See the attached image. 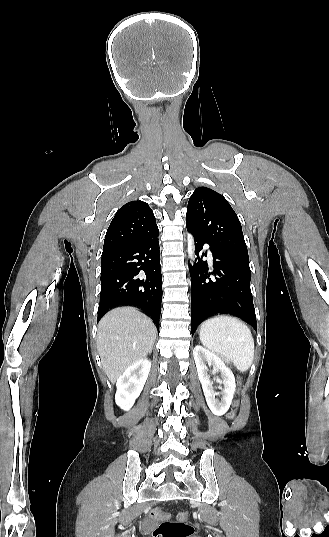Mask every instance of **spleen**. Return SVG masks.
Returning <instances> with one entry per match:
<instances>
[{"instance_id": "3e777b00", "label": "spleen", "mask_w": 329, "mask_h": 537, "mask_svg": "<svg viewBox=\"0 0 329 537\" xmlns=\"http://www.w3.org/2000/svg\"><path fill=\"white\" fill-rule=\"evenodd\" d=\"M200 341L208 349L230 359L246 371L254 359V340L248 326L231 316H217L202 323Z\"/></svg>"}]
</instances>
